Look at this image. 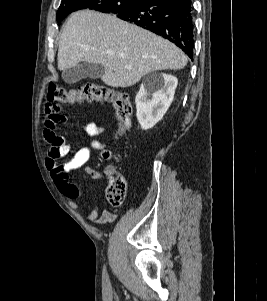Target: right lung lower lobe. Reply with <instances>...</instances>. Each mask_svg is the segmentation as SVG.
<instances>
[{
  "instance_id": "obj_1",
  "label": "right lung lower lobe",
  "mask_w": 267,
  "mask_h": 301,
  "mask_svg": "<svg viewBox=\"0 0 267 301\" xmlns=\"http://www.w3.org/2000/svg\"><path fill=\"white\" fill-rule=\"evenodd\" d=\"M117 16L170 40L193 57L191 0H141Z\"/></svg>"
}]
</instances>
